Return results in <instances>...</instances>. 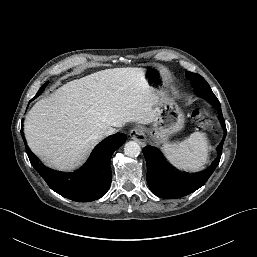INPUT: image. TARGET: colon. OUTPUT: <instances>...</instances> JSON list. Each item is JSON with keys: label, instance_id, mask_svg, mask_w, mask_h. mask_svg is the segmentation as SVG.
<instances>
[{"label": "colon", "instance_id": "obj_1", "mask_svg": "<svg viewBox=\"0 0 257 257\" xmlns=\"http://www.w3.org/2000/svg\"><path fill=\"white\" fill-rule=\"evenodd\" d=\"M192 118L199 126L210 125V118L200 110H194L192 112Z\"/></svg>", "mask_w": 257, "mask_h": 257}]
</instances>
